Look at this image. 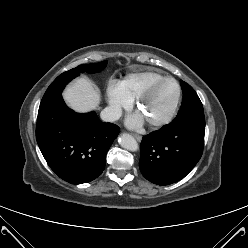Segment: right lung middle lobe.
Returning a JSON list of instances; mask_svg holds the SVG:
<instances>
[{"mask_svg":"<svg viewBox=\"0 0 248 248\" xmlns=\"http://www.w3.org/2000/svg\"><path fill=\"white\" fill-rule=\"evenodd\" d=\"M107 64V61H102L100 63L88 64V65H80L76 68H73L69 71H66L59 75L48 87L45 92L40 106L56 99L61 95L62 90L72 79L77 77L79 74L88 72V73H96L101 71Z\"/></svg>","mask_w":248,"mask_h":248,"instance_id":"obj_1","label":"right lung middle lobe"}]
</instances>
